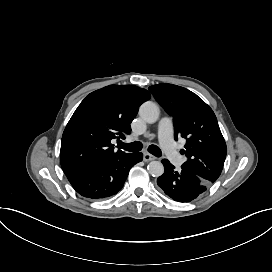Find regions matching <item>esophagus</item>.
<instances>
[{"instance_id": "esophagus-1", "label": "esophagus", "mask_w": 272, "mask_h": 272, "mask_svg": "<svg viewBox=\"0 0 272 272\" xmlns=\"http://www.w3.org/2000/svg\"><path fill=\"white\" fill-rule=\"evenodd\" d=\"M155 159H156V157L153 156L152 154L147 153V152L143 153V160L144 161H152V160H155Z\"/></svg>"}]
</instances>
